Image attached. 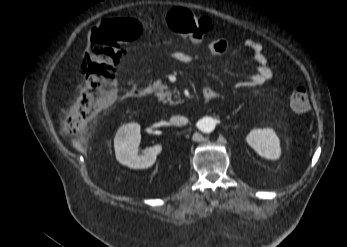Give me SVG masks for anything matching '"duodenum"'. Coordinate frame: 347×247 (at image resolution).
I'll list each match as a JSON object with an SVG mask.
<instances>
[{
  "label": "duodenum",
  "mask_w": 347,
  "mask_h": 247,
  "mask_svg": "<svg viewBox=\"0 0 347 247\" xmlns=\"http://www.w3.org/2000/svg\"><path fill=\"white\" fill-rule=\"evenodd\" d=\"M150 94V89L147 87L143 88H132L128 91V96L131 97H146ZM216 96V93L212 89H205L202 94V98L205 102L212 100Z\"/></svg>",
  "instance_id": "410a0bca"
}]
</instances>
